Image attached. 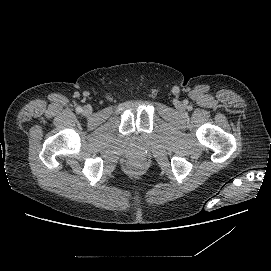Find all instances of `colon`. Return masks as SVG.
<instances>
[{"label": "colon", "mask_w": 271, "mask_h": 271, "mask_svg": "<svg viewBox=\"0 0 271 271\" xmlns=\"http://www.w3.org/2000/svg\"><path fill=\"white\" fill-rule=\"evenodd\" d=\"M129 170L131 173H137V172H139L140 168L137 165H132V166H130Z\"/></svg>", "instance_id": "obj_1"}]
</instances>
